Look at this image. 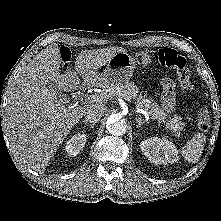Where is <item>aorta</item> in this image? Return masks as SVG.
Returning a JSON list of instances; mask_svg holds the SVG:
<instances>
[{"instance_id": "1", "label": "aorta", "mask_w": 221, "mask_h": 221, "mask_svg": "<svg viewBox=\"0 0 221 221\" xmlns=\"http://www.w3.org/2000/svg\"><path fill=\"white\" fill-rule=\"evenodd\" d=\"M107 131L115 136H120L127 131V122L118 114H112L106 122Z\"/></svg>"}]
</instances>
